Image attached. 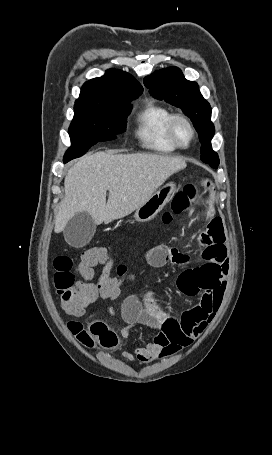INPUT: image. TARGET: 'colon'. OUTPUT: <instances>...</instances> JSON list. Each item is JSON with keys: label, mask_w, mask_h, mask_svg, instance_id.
<instances>
[{"label": "colon", "mask_w": 272, "mask_h": 455, "mask_svg": "<svg viewBox=\"0 0 272 455\" xmlns=\"http://www.w3.org/2000/svg\"><path fill=\"white\" fill-rule=\"evenodd\" d=\"M200 190L188 183L182 191L176 194L171 204V211L165 212L162 221L172 222L175 215L189 212L200 203ZM73 259L66 255H58L53 261V283L60 296L61 308L69 315H82L85 309L98 298L113 300L118 296L121 287L131 283L135 276L127 264H119L112 275L113 261L107 249L90 247L81 254L77 271L82 277L75 281ZM105 265L104 272L97 283L90 282L93 268ZM68 328L77 340L87 348L96 346L112 348L117 345L116 334L102 322H92L88 326L80 321H70Z\"/></svg>", "instance_id": "1"}]
</instances>
